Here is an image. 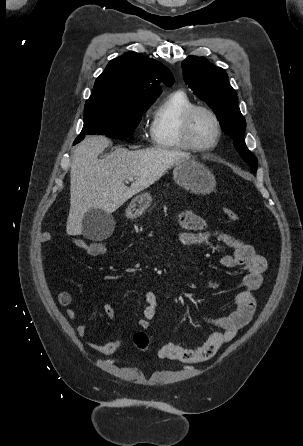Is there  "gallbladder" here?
<instances>
[{"label":"gallbladder","mask_w":303,"mask_h":446,"mask_svg":"<svg viewBox=\"0 0 303 446\" xmlns=\"http://www.w3.org/2000/svg\"><path fill=\"white\" fill-rule=\"evenodd\" d=\"M114 225V219L110 214L99 209H91L83 218L82 234L91 240H103L112 234Z\"/></svg>","instance_id":"bac80fb5"}]
</instances>
